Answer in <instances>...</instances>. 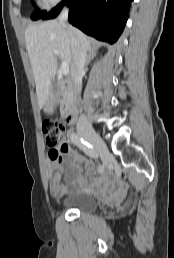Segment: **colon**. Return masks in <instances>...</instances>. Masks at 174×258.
<instances>
[{
  "instance_id": "5ec220e1",
  "label": "colon",
  "mask_w": 174,
  "mask_h": 258,
  "mask_svg": "<svg viewBox=\"0 0 174 258\" xmlns=\"http://www.w3.org/2000/svg\"><path fill=\"white\" fill-rule=\"evenodd\" d=\"M42 129L46 137V142L51 147L57 146L66 132V126L62 122L54 120L44 121ZM52 155L58 157L59 151L54 150Z\"/></svg>"
}]
</instances>
